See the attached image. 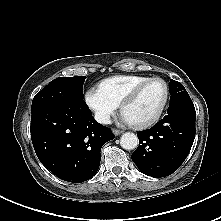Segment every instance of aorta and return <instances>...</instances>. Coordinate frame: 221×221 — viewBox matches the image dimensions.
Masks as SVG:
<instances>
[{
	"label": "aorta",
	"instance_id": "1",
	"mask_svg": "<svg viewBox=\"0 0 221 221\" xmlns=\"http://www.w3.org/2000/svg\"><path fill=\"white\" fill-rule=\"evenodd\" d=\"M120 145L125 150H133L138 146V137L132 132H126L121 136Z\"/></svg>",
	"mask_w": 221,
	"mask_h": 221
}]
</instances>
